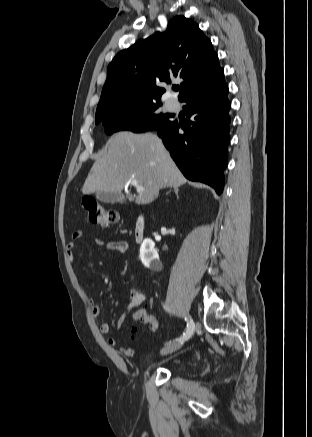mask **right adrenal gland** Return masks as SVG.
<instances>
[{"instance_id": "right-adrenal-gland-1", "label": "right adrenal gland", "mask_w": 312, "mask_h": 437, "mask_svg": "<svg viewBox=\"0 0 312 437\" xmlns=\"http://www.w3.org/2000/svg\"><path fill=\"white\" fill-rule=\"evenodd\" d=\"M175 194L178 196V192H179V188L178 187H173ZM170 192V191H169ZM168 192V193H169Z\"/></svg>"}]
</instances>
